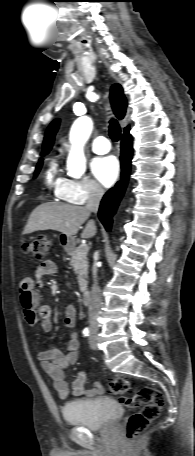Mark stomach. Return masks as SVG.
Masks as SVG:
<instances>
[{"label":"stomach","instance_id":"1","mask_svg":"<svg viewBox=\"0 0 195 456\" xmlns=\"http://www.w3.org/2000/svg\"><path fill=\"white\" fill-rule=\"evenodd\" d=\"M60 245L67 251H70L74 248L75 239L73 236L69 237L65 234L60 235Z\"/></svg>","mask_w":195,"mask_h":456}]
</instances>
